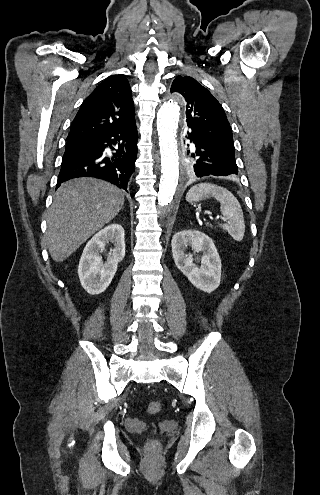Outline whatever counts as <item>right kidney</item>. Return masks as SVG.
<instances>
[{"mask_svg": "<svg viewBox=\"0 0 320 495\" xmlns=\"http://www.w3.org/2000/svg\"><path fill=\"white\" fill-rule=\"evenodd\" d=\"M124 235L121 225L111 224L95 234L86 244L79 261L78 275L82 287L89 294H100L111 283L118 263L125 256ZM109 242L114 244V248L109 252L107 262L103 264L100 253Z\"/></svg>", "mask_w": 320, "mask_h": 495, "instance_id": "obj_1", "label": "right kidney"}]
</instances>
